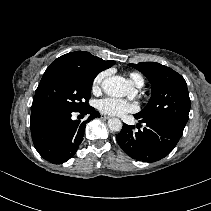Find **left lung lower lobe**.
<instances>
[{"mask_svg":"<svg viewBox=\"0 0 211 211\" xmlns=\"http://www.w3.org/2000/svg\"><path fill=\"white\" fill-rule=\"evenodd\" d=\"M146 127L134 132V126L123 124L117 135L121 149L132 158L143 162H155L167 156L178 143L183 130H180L165 120H146L137 117Z\"/></svg>","mask_w":211,"mask_h":211,"instance_id":"left-lung-lower-lobe-1","label":"left lung lower lobe"}]
</instances>
